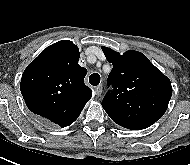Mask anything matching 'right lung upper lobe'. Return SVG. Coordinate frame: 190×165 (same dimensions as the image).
Returning <instances> with one entry per match:
<instances>
[{
	"mask_svg": "<svg viewBox=\"0 0 190 165\" xmlns=\"http://www.w3.org/2000/svg\"><path fill=\"white\" fill-rule=\"evenodd\" d=\"M73 42L62 40L44 49L25 69L20 89L27 107L59 126L80 115L92 90L84 84L87 70L79 66Z\"/></svg>",
	"mask_w": 190,
	"mask_h": 165,
	"instance_id": "right-lung-upper-lobe-1",
	"label": "right lung upper lobe"
}]
</instances>
